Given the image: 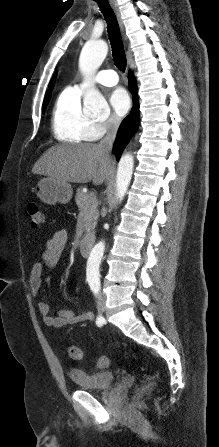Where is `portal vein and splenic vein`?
<instances>
[{
  "label": "portal vein and splenic vein",
  "mask_w": 219,
  "mask_h": 447,
  "mask_svg": "<svg viewBox=\"0 0 219 447\" xmlns=\"http://www.w3.org/2000/svg\"><path fill=\"white\" fill-rule=\"evenodd\" d=\"M91 195H93V196H94V198H96V196L94 195V193H91Z\"/></svg>",
  "instance_id": "obj_1"
}]
</instances>
